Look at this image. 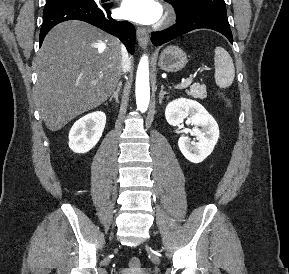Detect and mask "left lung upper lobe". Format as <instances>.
<instances>
[{
	"label": "left lung upper lobe",
	"instance_id": "obj_1",
	"mask_svg": "<svg viewBox=\"0 0 289 274\" xmlns=\"http://www.w3.org/2000/svg\"><path fill=\"white\" fill-rule=\"evenodd\" d=\"M176 12V20H182L201 10L226 11L224 0H165Z\"/></svg>",
	"mask_w": 289,
	"mask_h": 274
}]
</instances>
